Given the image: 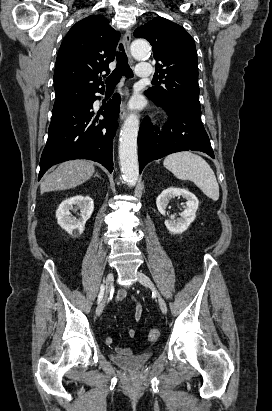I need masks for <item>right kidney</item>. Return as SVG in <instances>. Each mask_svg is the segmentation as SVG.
Wrapping results in <instances>:
<instances>
[{
  "label": "right kidney",
  "instance_id": "ca27d5eb",
  "mask_svg": "<svg viewBox=\"0 0 272 411\" xmlns=\"http://www.w3.org/2000/svg\"><path fill=\"white\" fill-rule=\"evenodd\" d=\"M80 209V218L71 216L70 210ZM94 210V202L89 196L77 195L64 200L56 211L57 222L73 237H79L85 229L86 221Z\"/></svg>",
  "mask_w": 272,
  "mask_h": 411
}]
</instances>
